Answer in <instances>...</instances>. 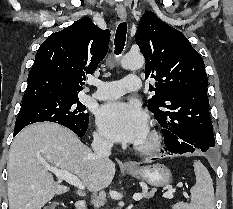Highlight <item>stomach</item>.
Returning <instances> with one entry per match:
<instances>
[{
    "label": "stomach",
    "instance_id": "1",
    "mask_svg": "<svg viewBox=\"0 0 233 209\" xmlns=\"http://www.w3.org/2000/svg\"><path fill=\"white\" fill-rule=\"evenodd\" d=\"M131 176L142 180L154 187H162L172 181L170 170L163 164H152L144 167H138L135 170L126 169Z\"/></svg>",
    "mask_w": 233,
    "mask_h": 209
}]
</instances>
